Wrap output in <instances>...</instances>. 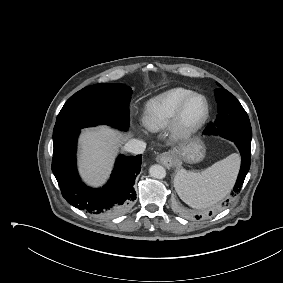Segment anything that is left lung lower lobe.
<instances>
[{"instance_id": "1", "label": "left lung lower lobe", "mask_w": 283, "mask_h": 283, "mask_svg": "<svg viewBox=\"0 0 283 283\" xmlns=\"http://www.w3.org/2000/svg\"><path fill=\"white\" fill-rule=\"evenodd\" d=\"M208 127L205 129L204 133L205 134H212L207 131ZM235 145L237 146L240 154H241V167L240 171L237 177V181L235 183V186L233 188L232 195H235L238 193L242 187V184L244 182V179L249 171L250 168V163H251V144L248 143H243V142H234ZM229 200H226V204L228 203ZM210 214H212L210 212ZM201 217V216H200ZM198 215L196 216L197 219L200 218Z\"/></svg>"}]
</instances>
